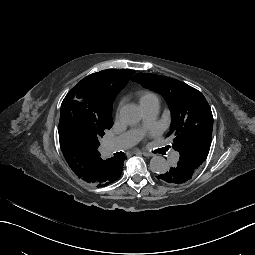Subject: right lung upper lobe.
Wrapping results in <instances>:
<instances>
[{
	"label": "right lung upper lobe",
	"instance_id": "obj_1",
	"mask_svg": "<svg viewBox=\"0 0 255 255\" xmlns=\"http://www.w3.org/2000/svg\"><path fill=\"white\" fill-rule=\"evenodd\" d=\"M133 70H103L82 79L66 95L63 106L80 117L112 123V104L126 86ZM72 171L87 183L104 187L115 182L122 173L125 157H101L98 147H61Z\"/></svg>",
	"mask_w": 255,
	"mask_h": 255
}]
</instances>
